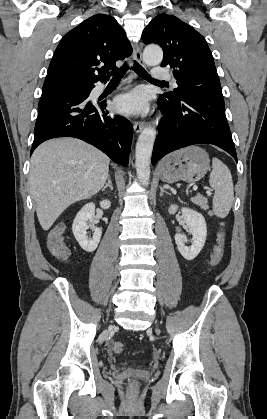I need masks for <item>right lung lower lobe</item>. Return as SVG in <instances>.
I'll use <instances>...</instances> for the list:
<instances>
[{
    "label": "right lung lower lobe",
    "mask_w": 267,
    "mask_h": 419,
    "mask_svg": "<svg viewBox=\"0 0 267 419\" xmlns=\"http://www.w3.org/2000/svg\"><path fill=\"white\" fill-rule=\"evenodd\" d=\"M94 87H43L31 153L48 139L70 136L92 144L118 164H128L132 124L122 116L105 112V102L89 101Z\"/></svg>",
    "instance_id": "98d812e1"
}]
</instances>
